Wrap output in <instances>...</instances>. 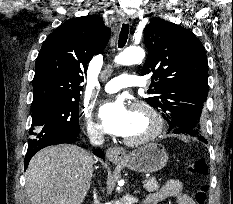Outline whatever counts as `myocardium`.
<instances>
[{
	"mask_svg": "<svg viewBox=\"0 0 233 204\" xmlns=\"http://www.w3.org/2000/svg\"><path fill=\"white\" fill-rule=\"evenodd\" d=\"M131 110L145 112L151 119L152 128L148 133L138 138L124 137L123 141L125 144L130 146L143 145L154 140L161 134L164 128V121L161 114L151 104L145 101H136L131 105Z\"/></svg>",
	"mask_w": 233,
	"mask_h": 204,
	"instance_id": "f54148a6",
	"label": "myocardium"
}]
</instances>
